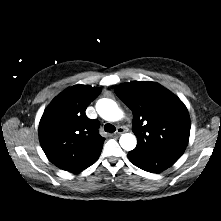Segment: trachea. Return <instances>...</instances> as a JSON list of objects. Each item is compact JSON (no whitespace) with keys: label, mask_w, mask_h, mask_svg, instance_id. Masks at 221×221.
I'll use <instances>...</instances> for the list:
<instances>
[{"label":"trachea","mask_w":221,"mask_h":221,"mask_svg":"<svg viewBox=\"0 0 221 221\" xmlns=\"http://www.w3.org/2000/svg\"><path fill=\"white\" fill-rule=\"evenodd\" d=\"M104 130L106 132L113 133V132H115L116 128L114 125L108 123L104 126Z\"/></svg>","instance_id":"3493384b"}]
</instances>
